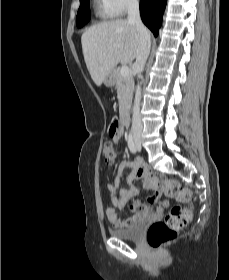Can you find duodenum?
Returning <instances> with one entry per match:
<instances>
[{"instance_id": "1", "label": "duodenum", "mask_w": 229, "mask_h": 280, "mask_svg": "<svg viewBox=\"0 0 229 280\" xmlns=\"http://www.w3.org/2000/svg\"><path fill=\"white\" fill-rule=\"evenodd\" d=\"M120 124L122 128H126L129 124V116H128V111L123 110L121 116H120Z\"/></svg>"}]
</instances>
